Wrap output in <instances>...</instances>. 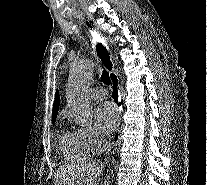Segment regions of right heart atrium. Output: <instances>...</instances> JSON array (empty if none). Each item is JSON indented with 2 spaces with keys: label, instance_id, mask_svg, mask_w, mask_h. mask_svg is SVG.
<instances>
[{
  "label": "right heart atrium",
  "instance_id": "1",
  "mask_svg": "<svg viewBox=\"0 0 207 185\" xmlns=\"http://www.w3.org/2000/svg\"><path fill=\"white\" fill-rule=\"evenodd\" d=\"M77 132L95 150L102 148L107 140L105 135L91 125L80 127Z\"/></svg>",
  "mask_w": 207,
  "mask_h": 185
}]
</instances>
